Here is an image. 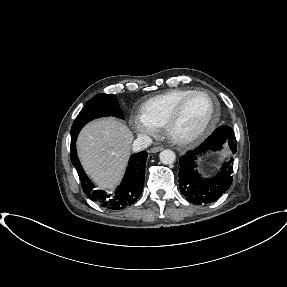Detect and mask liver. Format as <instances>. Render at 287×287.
<instances>
[{
    "mask_svg": "<svg viewBox=\"0 0 287 287\" xmlns=\"http://www.w3.org/2000/svg\"><path fill=\"white\" fill-rule=\"evenodd\" d=\"M133 133L114 118L87 124L77 139L78 155L88 176L103 190H113L122 179L130 156Z\"/></svg>",
    "mask_w": 287,
    "mask_h": 287,
    "instance_id": "1",
    "label": "liver"
}]
</instances>
